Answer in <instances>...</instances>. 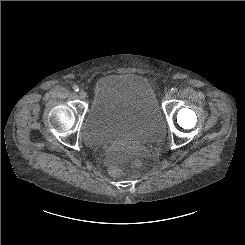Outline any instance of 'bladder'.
<instances>
[{
	"instance_id": "bladder-1",
	"label": "bladder",
	"mask_w": 245,
	"mask_h": 245,
	"mask_svg": "<svg viewBox=\"0 0 245 245\" xmlns=\"http://www.w3.org/2000/svg\"><path fill=\"white\" fill-rule=\"evenodd\" d=\"M164 130V116L149 81L136 73H110L93 86L82 126L90 145L149 142Z\"/></svg>"
}]
</instances>
